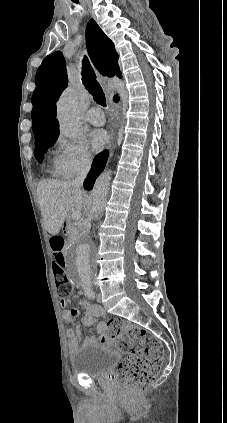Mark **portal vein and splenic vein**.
Here are the masks:
<instances>
[{"mask_svg": "<svg viewBox=\"0 0 227 423\" xmlns=\"http://www.w3.org/2000/svg\"><path fill=\"white\" fill-rule=\"evenodd\" d=\"M72 217L73 219H80L81 213L78 210H72Z\"/></svg>", "mask_w": 227, "mask_h": 423, "instance_id": "obj_1", "label": "portal vein and splenic vein"}]
</instances>
